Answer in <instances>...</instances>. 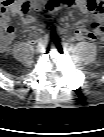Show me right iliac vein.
I'll list each match as a JSON object with an SVG mask.
<instances>
[{
	"label": "right iliac vein",
	"instance_id": "1",
	"mask_svg": "<svg viewBox=\"0 0 104 137\" xmlns=\"http://www.w3.org/2000/svg\"><path fill=\"white\" fill-rule=\"evenodd\" d=\"M44 45H45V42L44 41H41L37 47H36V51L37 52H41L43 49H44Z\"/></svg>",
	"mask_w": 104,
	"mask_h": 137
}]
</instances>
